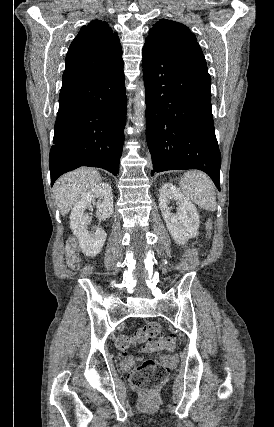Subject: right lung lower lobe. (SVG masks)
<instances>
[{
  "instance_id": "1",
  "label": "right lung lower lobe",
  "mask_w": 274,
  "mask_h": 427,
  "mask_svg": "<svg viewBox=\"0 0 274 427\" xmlns=\"http://www.w3.org/2000/svg\"><path fill=\"white\" fill-rule=\"evenodd\" d=\"M123 63L100 77L60 91L49 157L51 186L80 166L118 174L126 123Z\"/></svg>"
}]
</instances>
